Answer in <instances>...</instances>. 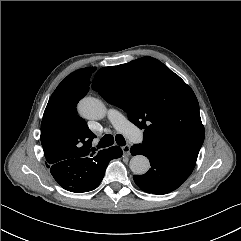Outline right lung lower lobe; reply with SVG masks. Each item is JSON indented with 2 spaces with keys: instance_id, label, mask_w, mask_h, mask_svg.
Masks as SVG:
<instances>
[{
  "instance_id": "obj_1",
  "label": "right lung lower lobe",
  "mask_w": 241,
  "mask_h": 241,
  "mask_svg": "<svg viewBox=\"0 0 241 241\" xmlns=\"http://www.w3.org/2000/svg\"><path fill=\"white\" fill-rule=\"evenodd\" d=\"M121 156L122 149L114 146L84 157L47 161L46 166L62 188L82 193L97 188L104 177L108 163Z\"/></svg>"
}]
</instances>
